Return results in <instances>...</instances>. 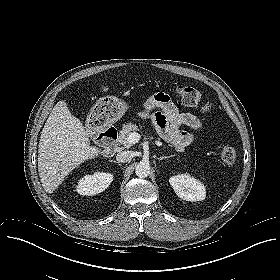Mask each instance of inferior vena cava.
Listing matches in <instances>:
<instances>
[{
    "label": "inferior vena cava",
    "instance_id": "obj_1",
    "mask_svg": "<svg viewBox=\"0 0 280 280\" xmlns=\"http://www.w3.org/2000/svg\"><path fill=\"white\" fill-rule=\"evenodd\" d=\"M132 158H133L132 151H122L116 155V160L122 163L129 162Z\"/></svg>",
    "mask_w": 280,
    "mask_h": 280
}]
</instances>
